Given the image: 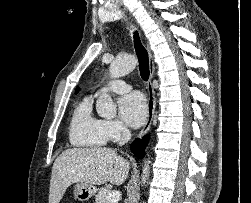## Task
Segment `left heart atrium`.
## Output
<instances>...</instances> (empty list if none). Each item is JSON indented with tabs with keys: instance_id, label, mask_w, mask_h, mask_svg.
Here are the masks:
<instances>
[{
	"instance_id": "1",
	"label": "left heart atrium",
	"mask_w": 251,
	"mask_h": 203,
	"mask_svg": "<svg viewBox=\"0 0 251 203\" xmlns=\"http://www.w3.org/2000/svg\"><path fill=\"white\" fill-rule=\"evenodd\" d=\"M120 113L123 119L131 127L141 126L147 117V105L145 98L138 92L130 93L118 102Z\"/></svg>"
}]
</instances>
